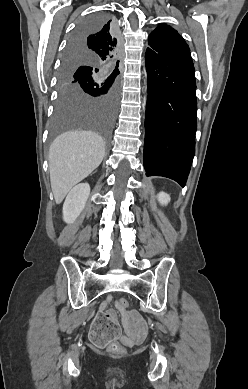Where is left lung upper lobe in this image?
Here are the masks:
<instances>
[{
	"label": "left lung upper lobe",
	"mask_w": 248,
	"mask_h": 389,
	"mask_svg": "<svg viewBox=\"0 0 248 389\" xmlns=\"http://www.w3.org/2000/svg\"><path fill=\"white\" fill-rule=\"evenodd\" d=\"M150 49L159 53L189 51V47L176 30L168 25L158 26L149 35Z\"/></svg>",
	"instance_id": "5c2ea615"
}]
</instances>
